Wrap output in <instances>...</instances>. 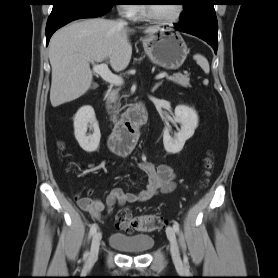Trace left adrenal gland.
Segmentation results:
<instances>
[{
	"instance_id": "1",
	"label": "left adrenal gland",
	"mask_w": 278,
	"mask_h": 278,
	"mask_svg": "<svg viewBox=\"0 0 278 278\" xmlns=\"http://www.w3.org/2000/svg\"><path fill=\"white\" fill-rule=\"evenodd\" d=\"M161 84H162L161 82L156 83L155 86L152 88V92L154 93Z\"/></svg>"
}]
</instances>
